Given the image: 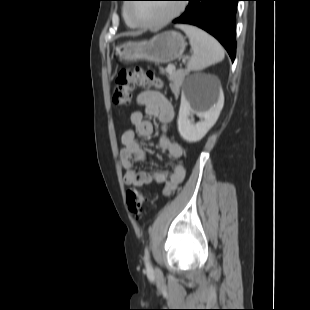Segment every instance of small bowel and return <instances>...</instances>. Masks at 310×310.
Returning a JSON list of instances; mask_svg holds the SVG:
<instances>
[{"instance_id": "small-bowel-1", "label": "small bowel", "mask_w": 310, "mask_h": 310, "mask_svg": "<svg viewBox=\"0 0 310 310\" xmlns=\"http://www.w3.org/2000/svg\"><path fill=\"white\" fill-rule=\"evenodd\" d=\"M137 103L143 111L130 114V123L135 130H127L122 134L123 148L120 151V164L125 171L123 181L126 185L139 188L153 182L162 184V194L170 196L184 181L186 170L181 158L183 145L173 141L167 134L168 125L173 120L174 109L165 96L156 90H143L137 96ZM146 117H154L161 124L162 133L158 140L159 147L177 160L172 168L147 172L135 170V165L146 159V153L138 142L136 135L148 137L153 133V123Z\"/></svg>"}]
</instances>
